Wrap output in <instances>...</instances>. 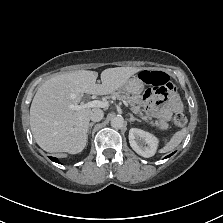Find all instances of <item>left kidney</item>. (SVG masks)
<instances>
[{
  "label": "left kidney",
  "mask_w": 223,
  "mask_h": 223,
  "mask_svg": "<svg viewBox=\"0 0 223 223\" xmlns=\"http://www.w3.org/2000/svg\"><path fill=\"white\" fill-rule=\"evenodd\" d=\"M140 141L147 144V146H140ZM129 143L137 154L149 158L155 155L159 140L148 132L137 128H131L129 130Z\"/></svg>",
  "instance_id": "left-kidney-1"
}]
</instances>
